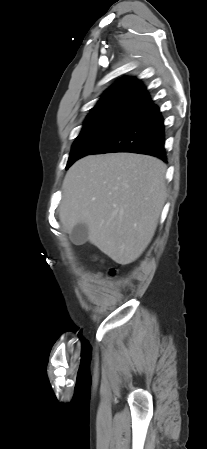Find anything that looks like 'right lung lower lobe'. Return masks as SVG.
I'll return each instance as SVG.
<instances>
[{
	"label": "right lung lower lobe",
	"mask_w": 207,
	"mask_h": 449,
	"mask_svg": "<svg viewBox=\"0 0 207 449\" xmlns=\"http://www.w3.org/2000/svg\"><path fill=\"white\" fill-rule=\"evenodd\" d=\"M112 152L148 154L166 161L164 124L159 108L151 104L136 113L91 154Z\"/></svg>",
	"instance_id": "right-lung-lower-lobe-1"
}]
</instances>
